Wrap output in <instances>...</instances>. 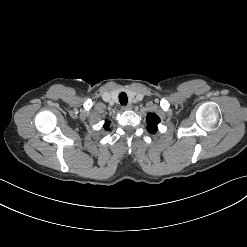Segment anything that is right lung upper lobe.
I'll return each instance as SVG.
<instances>
[{
	"label": "right lung upper lobe",
	"instance_id": "1",
	"mask_svg": "<svg viewBox=\"0 0 247 247\" xmlns=\"http://www.w3.org/2000/svg\"><path fill=\"white\" fill-rule=\"evenodd\" d=\"M109 123H110L109 121H106V122H105V124H104V128H105V129H108Z\"/></svg>",
	"mask_w": 247,
	"mask_h": 247
}]
</instances>
